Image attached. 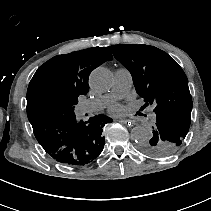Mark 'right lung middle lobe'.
I'll return each mask as SVG.
<instances>
[{"mask_svg": "<svg viewBox=\"0 0 211 211\" xmlns=\"http://www.w3.org/2000/svg\"><path fill=\"white\" fill-rule=\"evenodd\" d=\"M78 102H70V103H67V104H64L62 106H60L59 108L56 109V111L54 112L53 116H66V117H69V116H72L74 115V108H75V105L77 104Z\"/></svg>", "mask_w": 211, "mask_h": 211, "instance_id": "dd1d6c3e", "label": "right lung middle lobe"}]
</instances>
